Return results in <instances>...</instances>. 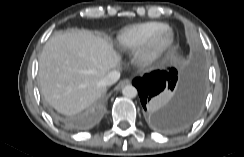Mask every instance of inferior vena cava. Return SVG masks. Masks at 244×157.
Returning <instances> with one entry per match:
<instances>
[{
    "mask_svg": "<svg viewBox=\"0 0 244 157\" xmlns=\"http://www.w3.org/2000/svg\"><path fill=\"white\" fill-rule=\"evenodd\" d=\"M120 78V72L117 70L110 71L102 81L104 86H110L116 83Z\"/></svg>",
    "mask_w": 244,
    "mask_h": 157,
    "instance_id": "602c4592",
    "label": "inferior vena cava"
}]
</instances>
